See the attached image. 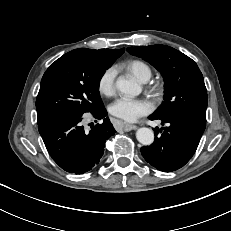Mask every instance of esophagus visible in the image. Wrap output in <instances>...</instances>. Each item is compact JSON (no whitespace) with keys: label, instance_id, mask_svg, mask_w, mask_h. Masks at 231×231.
<instances>
[{"label":"esophagus","instance_id":"1","mask_svg":"<svg viewBox=\"0 0 231 231\" xmlns=\"http://www.w3.org/2000/svg\"><path fill=\"white\" fill-rule=\"evenodd\" d=\"M116 129L118 130H124V131H131V130H134L137 128L136 125H133V124H127V123H119V124H116Z\"/></svg>","mask_w":231,"mask_h":231}]
</instances>
